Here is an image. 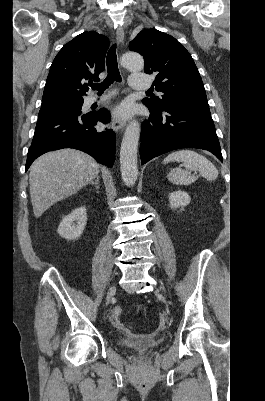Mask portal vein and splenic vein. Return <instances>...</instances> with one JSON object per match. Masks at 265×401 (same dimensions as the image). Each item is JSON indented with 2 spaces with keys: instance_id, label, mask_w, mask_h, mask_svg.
I'll list each match as a JSON object with an SVG mask.
<instances>
[{
  "instance_id": "portal-vein-and-splenic-vein-1",
  "label": "portal vein and splenic vein",
  "mask_w": 265,
  "mask_h": 401,
  "mask_svg": "<svg viewBox=\"0 0 265 401\" xmlns=\"http://www.w3.org/2000/svg\"><path fill=\"white\" fill-rule=\"evenodd\" d=\"M195 175H199V172H195Z\"/></svg>"
}]
</instances>
